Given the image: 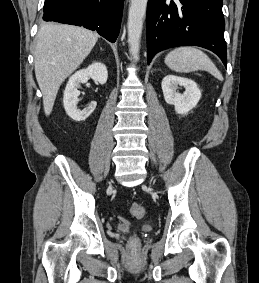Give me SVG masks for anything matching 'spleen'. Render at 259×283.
<instances>
[{
  "label": "spleen",
  "instance_id": "3e777b00",
  "mask_svg": "<svg viewBox=\"0 0 259 283\" xmlns=\"http://www.w3.org/2000/svg\"><path fill=\"white\" fill-rule=\"evenodd\" d=\"M165 64L179 73L203 70L209 72L218 80H223L222 74L211 59L203 51L195 47H179L172 50L166 56Z\"/></svg>",
  "mask_w": 259,
  "mask_h": 283
}]
</instances>
